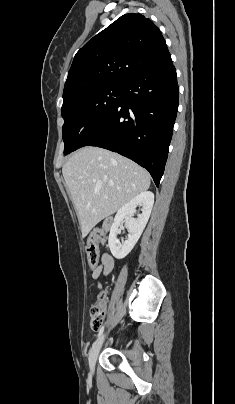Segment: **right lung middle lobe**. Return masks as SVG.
Wrapping results in <instances>:
<instances>
[{
	"mask_svg": "<svg viewBox=\"0 0 235 404\" xmlns=\"http://www.w3.org/2000/svg\"><path fill=\"white\" fill-rule=\"evenodd\" d=\"M123 84L106 85L83 93L61 108L64 119V154L76 150L85 135L107 117L121 101Z\"/></svg>",
	"mask_w": 235,
	"mask_h": 404,
	"instance_id": "right-lung-middle-lobe-1",
	"label": "right lung middle lobe"
}]
</instances>
